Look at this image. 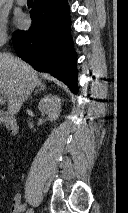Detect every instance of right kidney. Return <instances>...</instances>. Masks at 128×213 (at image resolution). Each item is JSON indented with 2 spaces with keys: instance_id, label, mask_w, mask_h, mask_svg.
<instances>
[{
  "instance_id": "right-kidney-1",
  "label": "right kidney",
  "mask_w": 128,
  "mask_h": 213,
  "mask_svg": "<svg viewBox=\"0 0 128 213\" xmlns=\"http://www.w3.org/2000/svg\"><path fill=\"white\" fill-rule=\"evenodd\" d=\"M38 109L47 114L50 121L56 120L61 112V99L56 95L48 94L39 101Z\"/></svg>"
}]
</instances>
